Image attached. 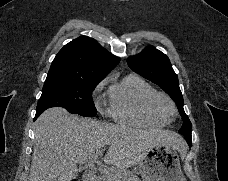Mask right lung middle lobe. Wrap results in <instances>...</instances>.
<instances>
[{"label": "right lung middle lobe", "instance_id": "right-lung-middle-lobe-1", "mask_svg": "<svg viewBox=\"0 0 228 181\" xmlns=\"http://www.w3.org/2000/svg\"><path fill=\"white\" fill-rule=\"evenodd\" d=\"M101 80L70 82L46 79L38 101L36 115L51 107H63L85 117L96 115L92 92Z\"/></svg>", "mask_w": 228, "mask_h": 181}]
</instances>
